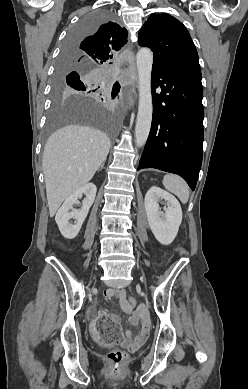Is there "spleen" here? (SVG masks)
Wrapping results in <instances>:
<instances>
[{
	"instance_id": "spleen-1",
	"label": "spleen",
	"mask_w": 248,
	"mask_h": 389,
	"mask_svg": "<svg viewBox=\"0 0 248 389\" xmlns=\"http://www.w3.org/2000/svg\"><path fill=\"white\" fill-rule=\"evenodd\" d=\"M163 185L165 189L175 194L182 203H186L189 199V187L187 183L174 174H167L163 178Z\"/></svg>"
}]
</instances>
